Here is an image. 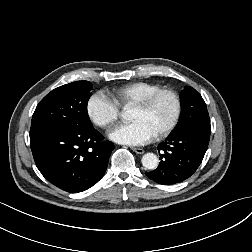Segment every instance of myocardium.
I'll use <instances>...</instances> for the list:
<instances>
[{
    "instance_id": "f54148a6",
    "label": "myocardium",
    "mask_w": 252,
    "mask_h": 252,
    "mask_svg": "<svg viewBox=\"0 0 252 252\" xmlns=\"http://www.w3.org/2000/svg\"><path fill=\"white\" fill-rule=\"evenodd\" d=\"M163 94H169L173 97L174 102H175V110L169 124L165 128H163L161 131L155 134V136L159 138L168 136L178 124L181 111H182V101H181V97L179 93L171 88H161L159 90L152 92L151 94L146 96L143 100H141L140 102L134 105V108L147 110L153 105L156 99Z\"/></svg>"
}]
</instances>
